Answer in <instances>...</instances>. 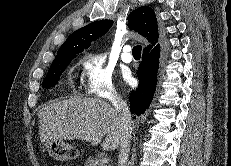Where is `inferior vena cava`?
<instances>
[{"instance_id":"602c4592","label":"inferior vena cava","mask_w":231,"mask_h":166,"mask_svg":"<svg viewBox=\"0 0 231 166\" xmlns=\"http://www.w3.org/2000/svg\"><path fill=\"white\" fill-rule=\"evenodd\" d=\"M111 103L120 115L123 123V139L121 142L118 158V166H126L130 151V140L132 137V120L128 105L117 94L112 95Z\"/></svg>"}]
</instances>
